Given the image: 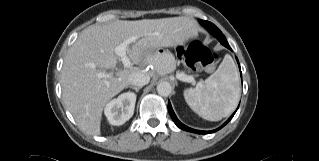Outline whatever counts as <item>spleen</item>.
Segmentation results:
<instances>
[{
    "mask_svg": "<svg viewBox=\"0 0 319 161\" xmlns=\"http://www.w3.org/2000/svg\"><path fill=\"white\" fill-rule=\"evenodd\" d=\"M239 96L238 72L230 55H225L218 69L204 83L184 90L189 107L209 121H219L230 115L238 104Z\"/></svg>",
    "mask_w": 319,
    "mask_h": 161,
    "instance_id": "1",
    "label": "spleen"
}]
</instances>
